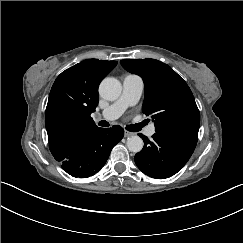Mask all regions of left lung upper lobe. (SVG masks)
Returning a JSON list of instances; mask_svg holds the SVG:
<instances>
[{
  "label": "left lung upper lobe",
  "instance_id": "left-lung-upper-lobe-1",
  "mask_svg": "<svg viewBox=\"0 0 243 243\" xmlns=\"http://www.w3.org/2000/svg\"><path fill=\"white\" fill-rule=\"evenodd\" d=\"M121 65L142 77L143 112L155 131H176L198 136L200 113L187 83L170 66L155 59H125Z\"/></svg>",
  "mask_w": 243,
  "mask_h": 243
}]
</instances>
